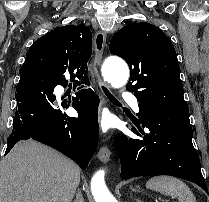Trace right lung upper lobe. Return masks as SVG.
<instances>
[{
	"label": "right lung upper lobe",
	"instance_id": "1",
	"mask_svg": "<svg viewBox=\"0 0 209 202\" xmlns=\"http://www.w3.org/2000/svg\"><path fill=\"white\" fill-rule=\"evenodd\" d=\"M92 52V34L84 25L57 27L37 39L26 54L20 78H51L60 84L75 78L89 84L87 62ZM78 84V81H76Z\"/></svg>",
	"mask_w": 209,
	"mask_h": 202
}]
</instances>
